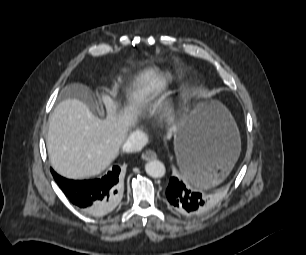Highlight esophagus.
Returning a JSON list of instances; mask_svg holds the SVG:
<instances>
[{
  "mask_svg": "<svg viewBox=\"0 0 306 255\" xmlns=\"http://www.w3.org/2000/svg\"><path fill=\"white\" fill-rule=\"evenodd\" d=\"M157 157V154L153 150H146L142 153V159L145 161L153 160Z\"/></svg>",
  "mask_w": 306,
  "mask_h": 255,
  "instance_id": "34e87169",
  "label": "esophagus"
}]
</instances>
